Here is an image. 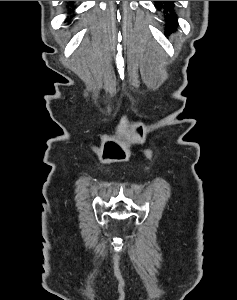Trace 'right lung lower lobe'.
<instances>
[{
    "label": "right lung lower lobe",
    "instance_id": "98d812e1",
    "mask_svg": "<svg viewBox=\"0 0 237 300\" xmlns=\"http://www.w3.org/2000/svg\"><path fill=\"white\" fill-rule=\"evenodd\" d=\"M70 5H71V4H70ZM73 8H74V7H72V8H70V9H68V10H69V12H70V11H72V10H73ZM71 17H72V16H71ZM67 22H69V23H70V19H68V20H67Z\"/></svg>",
    "mask_w": 237,
    "mask_h": 300
}]
</instances>
